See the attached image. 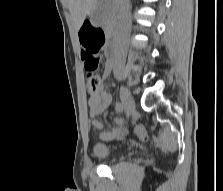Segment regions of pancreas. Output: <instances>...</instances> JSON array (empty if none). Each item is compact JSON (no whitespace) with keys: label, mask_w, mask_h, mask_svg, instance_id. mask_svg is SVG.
Listing matches in <instances>:
<instances>
[{"label":"pancreas","mask_w":223,"mask_h":191,"mask_svg":"<svg viewBox=\"0 0 223 191\" xmlns=\"http://www.w3.org/2000/svg\"><path fill=\"white\" fill-rule=\"evenodd\" d=\"M112 21V10L109 7H106L104 10V23L107 27L111 25Z\"/></svg>","instance_id":"cf45deb5"}]
</instances>
